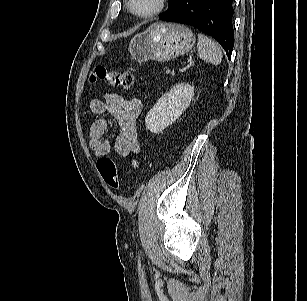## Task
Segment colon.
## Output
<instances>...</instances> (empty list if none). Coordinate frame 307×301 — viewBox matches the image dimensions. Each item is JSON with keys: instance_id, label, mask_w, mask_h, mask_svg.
Listing matches in <instances>:
<instances>
[{"instance_id": "5ec220e1", "label": "colon", "mask_w": 307, "mask_h": 301, "mask_svg": "<svg viewBox=\"0 0 307 301\" xmlns=\"http://www.w3.org/2000/svg\"><path fill=\"white\" fill-rule=\"evenodd\" d=\"M90 80L102 81L113 87L129 89L135 84L134 75L131 72H119L98 65L90 75ZM97 169L105 183L113 189H119L120 181L118 168L114 160L108 156H103L97 161Z\"/></svg>"}]
</instances>
